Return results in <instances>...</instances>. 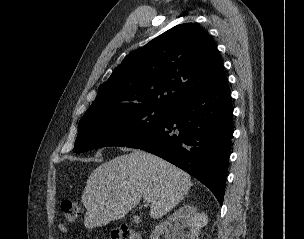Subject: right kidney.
<instances>
[{"instance_id":"ca27d5eb","label":"right kidney","mask_w":304,"mask_h":239,"mask_svg":"<svg viewBox=\"0 0 304 239\" xmlns=\"http://www.w3.org/2000/svg\"><path fill=\"white\" fill-rule=\"evenodd\" d=\"M206 223L205 215L198 214L194 206L184 204L156 226L150 239H158L163 232L165 239H198L200 229Z\"/></svg>"}]
</instances>
